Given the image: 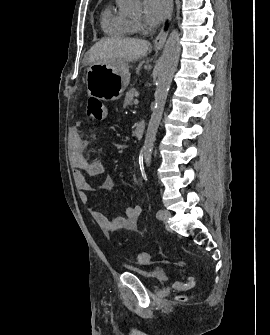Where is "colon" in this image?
I'll return each mask as SVG.
<instances>
[{
    "instance_id": "obj_1",
    "label": "colon",
    "mask_w": 270,
    "mask_h": 335,
    "mask_svg": "<svg viewBox=\"0 0 270 335\" xmlns=\"http://www.w3.org/2000/svg\"><path fill=\"white\" fill-rule=\"evenodd\" d=\"M84 114L89 122H101L106 115V107L103 100L95 96L90 97ZM133 259L137 264L147 265L151 262V254L148 251H137L133 254ZM181 299H184V297H181Z\"/></svg>"
}]
</instances>
